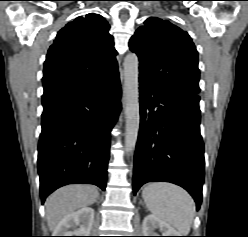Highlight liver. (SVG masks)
<instances>
[{"label": "liver", "mask_w": 248, "mask_h": 237, "mask_svg": "<svg viewBox=\"0 0 248 237\" xmlns=\"http://www.w3.org/2000/svg\"><path fill=\"white\" fill-rule=\"evenodd\" d=\"M99 196L95 186L69 185L52 193L46 200V217L50 231L68 214L93 204Z\"/></svg>", "instance_id": "liver-1"}]
</instances>
